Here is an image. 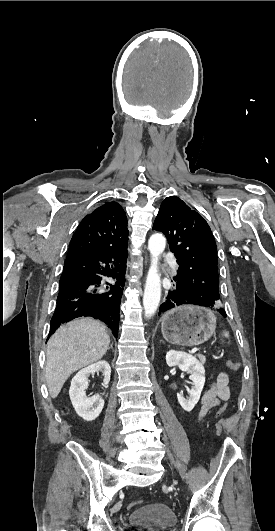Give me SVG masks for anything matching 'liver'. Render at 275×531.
Returning <instances> with one entry per match:
<instances>
[{"mask_svg":"<svg viewBox=\"0 0 275 531\" xmlns=\"http://www.w3.org/2000/svg\"><path fill=\"white\" fill-rule=\"evenodd\" d=\"M110 337L94 319H77L62 325L47 343L45 377L50 397H58L66 379L107 353Z\"/></svg>","mask_w":275,"mask_h":531,"instance_id":"1","label":"liver"}]
</instances>
